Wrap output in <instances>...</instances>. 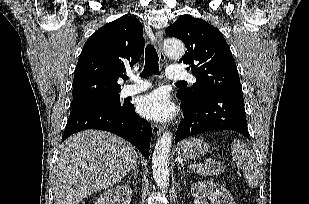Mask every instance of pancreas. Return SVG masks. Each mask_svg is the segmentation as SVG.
<instances>
[{"label":"pancreas","mask_w":309,"mask_h":204,"mask_svg":"<svg viewBox=\"0 0 309 204\" xmlns=\"http://www.w3.org/2000/svg\"><path fill=\"white\" fill-rule=\"evenodd\" d=\"M194 172L202 175V176H213L219 175L223 172V168L215 166L214 163H200L197 164L194 168H192Z\"/></svg>","instance_id":"1"}]
</instances>
